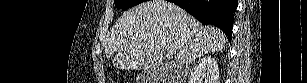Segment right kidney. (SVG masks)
I'll return each instance as SVG.
<instances>
[{"label": "right kidney", "instance_id": "ca27d5eb", "mask_svg": "<svg viewBox=\"0 0 307 83\" xmlns=\"http://www.w3.org/2000/svg\"><path fill=\"white\" fill-rule=\"evenodd\" d=\"M219 83V68L215 58L211 56L200 59L193 72L189 83Z\"/></svg>", "mask_w": 307, "mask_h": 83}]
</instances>
